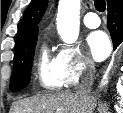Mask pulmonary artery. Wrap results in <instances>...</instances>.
Returning a JSON list of instances; mask_svg holds the SVG:
<instances>
[{"label": "pulmonary artery", "instance_id": "pulmonary-artery-1", "mask_svg": "<svg viewBox=\"0 0 123 113\" xmlns=\"http://www.w3.org/2000/svg\"><path fill=\"white\" fill-rule=\"evenodd\" d=\"M83 22L86 27L94 29L100 26V18L96 12L91 11L85 14Z\"/></svg>", "mask_w": 123, "mask_h": 113}]
</instances>
